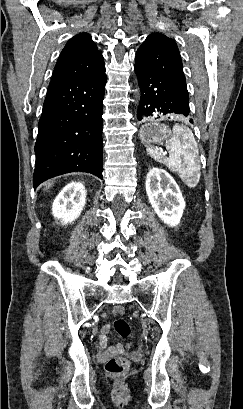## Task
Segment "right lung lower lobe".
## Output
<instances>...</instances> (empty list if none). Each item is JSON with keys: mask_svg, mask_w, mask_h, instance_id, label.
Returning a JSON list of instances; mask_svg holds the SVG:
<instances>
[{"mask_svg": "<svg viewBox=\"0 0 243 409\" xmlns=\"http://www.w3.org/2000/svg\"><path fill=\"white\" fill-rule=\"evenodd\" d=\"M105 66L83 78L52 79L38 123L33 186L57 175L85 171L102 176Z\"/></svg>", "mask_w": 243, "mask_h": 409, "instance_id": "obj_1", "label": "right lung lower lobe"}]
</instances>
